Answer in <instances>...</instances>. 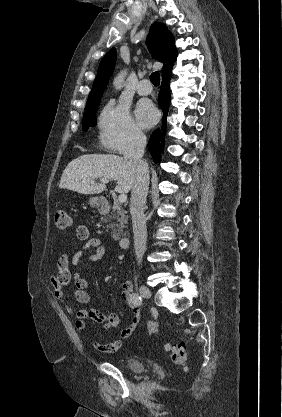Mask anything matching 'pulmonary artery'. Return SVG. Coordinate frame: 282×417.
Masks as SVG:
<instances>
[{
  "instance_id": "obj_1",
  "label": "pulmonary artery",
  "mask_w": 282,
  "mask_h": 417,
  "mask_svg": "<svg viewBox=\"0 0 282 417\" xmlns=\"http://www.w3.org/2000/svg\"><path fill=\"white\" fill-rule=\"evenodd\" d=\"M149 81L147 79H143L137 86V92L141 96H147L151 93L152 87L147 85Z\"/></svg>"
}]
</instances>
